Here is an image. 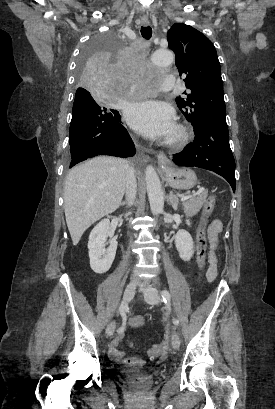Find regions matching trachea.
<instances>
[{"label": "trachea", "mask_w": 275, "mask_h": 409, "mask_svg": "<svg viewBox=\"0 0 275 409\" xmlns=\"http://www.w3.org/2000/svg\"><path fill=\"white\" fill-rule=\"evenodd\" d=\"M141 35L146 39L149 40L152 36V28L151 27H141Z\"/></svg>", "instance_id": "trachea-1"}]
</instances>
